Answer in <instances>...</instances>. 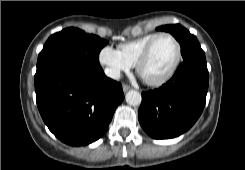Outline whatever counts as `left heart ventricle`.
<instances>
[{
  "label": "left heart ventricle",
  "mask_w": 245,
  "mask_h": 170,
  "mask_svg": "<svg viewBox=\"0 0 245 170\" xmlns=\"http://www.w3.org/2000/svg\"><path fill=\"white\" fill-rule=\"evenodd\" d=\"M177 54V47L170 37H162L154 45L149 58L142 65L144 78L156 80L162 77L172 66Z\"/></svg>",
  "instance_id": "left-heart-ventricle-1"
}]
</instances>
